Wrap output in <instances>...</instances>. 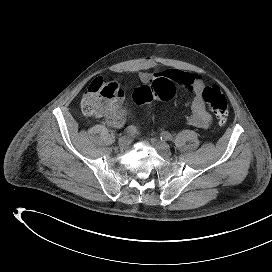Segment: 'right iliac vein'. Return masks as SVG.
<instances>
[{"label":"right iliac vein","instance_id":"63e3f726","mask_svg":"<svg viewBox=\"0 0 272 272\" xmlns=\"http://www.w3.org/2000/svg\"><path fill=\"white\" fill-rule=\"evenodd\" d=\"M118 144L120 148H126L129 145V139L127 137H121Z\"/></svg>","mask_w":272,"mask_h":272}]
</instances>
